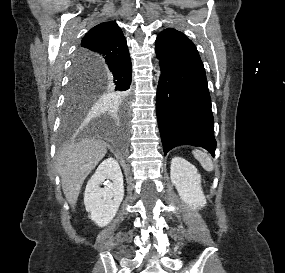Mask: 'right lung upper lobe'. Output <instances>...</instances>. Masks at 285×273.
Here are the masks:
<instances>
[{
    "mask_svg": "<svg viewBox=\"0 0 285 273\" xmlns=\"http://www.w3.org/2000/svg\"><path fill=\"white\" fill-rule=\"evenodd\" d=\"M129 54L127 42L114 21L100 23L84 36L73 66L79 73L97 77L93 67L122 59Z\"/></svg>",
    "mask_w": 285,
    "mask_h": 273,
    "instance_id": "1",
    "label": "right lung upper lobe"
}]
</instances>
